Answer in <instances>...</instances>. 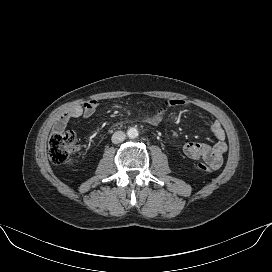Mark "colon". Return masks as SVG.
Wrapping results in <instances>:
<instances>
[{"instance_id":"colon-1","label":"colon","mask_w":272,"mask_h":272,"mask_svg":"<svg viewBox=\"0 0 272 272\" xmlns=\"http://www.w3.org/2000/svg\"><path fill=\"white\" fill-rule=\"evenodd\" d=\"M76 150V136L73 132L53 131L48 140V151L50 160L56 165H70L73 159V153ZM197 168L210 173L212 168L205 163H198Z\"/></svg>"}]
</instances>
